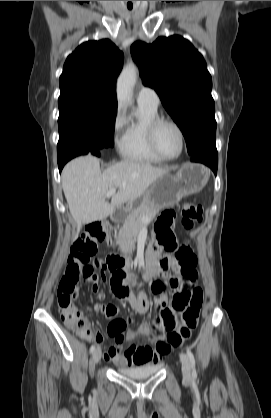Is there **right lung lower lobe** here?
<instances>
[{"mask_svg": "<svg viewBox=\"0 0 271 418\" xmlns=\"http://www.w3.org/2000/svg\"><path fill=\"white\" fill-rule=\"evenodd\" d=\"M90 153L96 155V156H100L101 155V150H92ZM82 155V154H80ZM78 155H76L75 153H65V154H60L58 155V167H59V171L61 172L63 166L72 158L76 157Z\"/></svg>", "mask_w": 271, "mask_h": 418, "instance_id": "right-lung-lower-lobe-1", "label": "right lung lower lobe"}]
</instances>
